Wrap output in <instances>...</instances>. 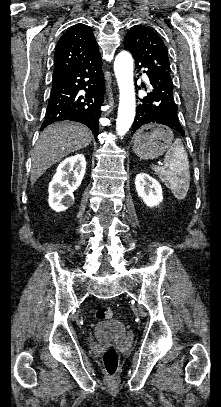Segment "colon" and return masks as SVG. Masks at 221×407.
<instances>
[{"label":"colon","mask_w":221,"mask_h":407,"mask_svg":"<svg viewBox=\"0 0 221 407\" xmlns=\"http://www.w3.org/2000/svg\"><path fill=\"white\" fill-rule=\"evenodd\" d=\"M113 312L111 308L101 306L96 309L95 317L99 321H108L112 319ZM103 364L108 376H114L118 367V355L113 347L107 348L103 353Z\"/></svg>","instance_id":"1"}]
</instances>
